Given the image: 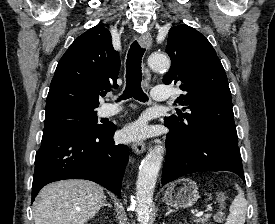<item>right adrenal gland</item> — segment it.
Listing matches in <instances>:
<instances>
[{
  "label": "right adrenal gland",
  "instance_id": "obj_1",
  "mask_svg": "<svg viewBox=\"0 0 275 224\" xmlns=\"http://www.w3.org/2000/svg\"><path fill=\"white\" fill-rule=\"evenodd\" d=\"M104 206H107V207H110V208L112 207L111 204H109V203H104V204H103V207H104Z\"/></svg>",
  "mask_w": 275,
  "mask_h": 224
}]
</instances>
